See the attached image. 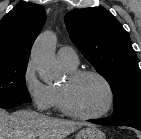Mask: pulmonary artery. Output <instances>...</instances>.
Listing matches in <instances>:
<instances>
[{"instance_id": "1", "label": "pulmonary artery", "mask_w": 141, "mask_h": 139, "mask_svg": "<svg viewBox=\"0 0 141 139\" xmlns=\"http://www.w3.org/2000/svg\"><path fill=\"white\" fill-rule=\"evenodd\" d=\"M57 61L62 66H67V67H77L79 63L76 51L69 46H63L58 50Z\"/></svg>"}]
</instances>
